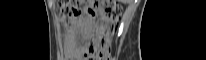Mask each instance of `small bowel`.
Wrapping results in <instances>:
<instances>
[{"label":"small bowel","mask_w":206,"mask_h":60,"mask_svg":"<svg viewBox=\"0 0 206 60\" xmlns=\"http://www.w3.org/2000/svg\"><path fill=\"white\" fill-rule=\"evenodd\" d=\"M81 23H77L76 27H79ZM75 28L69 30L65 35V57L68 60H77L81 56V51L76 48L74 40Z\"/></svg>","instance_id":"c3829d8e"}]
</instances>
